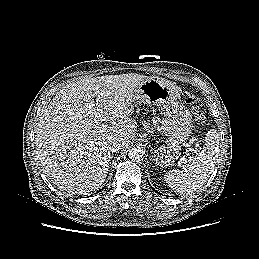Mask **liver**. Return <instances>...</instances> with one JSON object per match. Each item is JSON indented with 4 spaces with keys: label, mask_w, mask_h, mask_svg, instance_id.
Wrapping results in <instances>:
<instances>
[{
    "label": "liver",
    "mask_w": 259,
    "mask_h": 259,
    "mask_svg": "<svg viewBox=\"0 0 259 259\" xmlns=\"http://www.w3.org/2000/svg\"><path fill=\"white\" fill-rule=\"evenodd\" d=\"M148 79L135 73L84 78L57 93L35 130L37 159L53 184L79 194L102 186L109 143L116 140L126 148L135 137L133 94ZM103 121L113 125L103 128Z\"/></svg>",
    "instance_id": "1"
}]
</instances>
